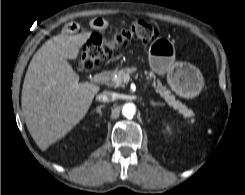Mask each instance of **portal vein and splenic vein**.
I'll list each match as a JSON object with an SVG mask.
<instances>
[{"mask_svg": "<svg viewBox=\"0 0 245 195\" xmlns=\"http://www.w3.org/2000/svg\"><path fill=\"white\" fill-rule=\"evenodd\" d=\"M127 82H128V80H129V77H127L126 79H125Z\"/></svg>", "mask_w": 245, "mask_h": 195, "instance_id": "1", "label": "portal vein and splenic vein"}]
</instances>
